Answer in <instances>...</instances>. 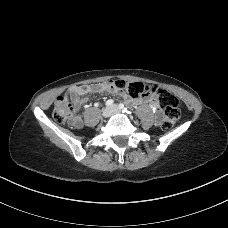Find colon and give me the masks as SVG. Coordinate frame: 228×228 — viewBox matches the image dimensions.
<instances>
[{"label":"colon","mask_w":228,"mask_h":228,"mask_svg":"<svg viewBox=\"0 0 228 228\" xmlns=\"http://www.w3.org/2000/svg\"><path fill=\"white\" fill-rule=\"evenodd\" d=\"M114 87L132 98L152 96L157 99L164 109V119L162 128L171 129L179 120L181 110L179 108L178 98L162 87L156 85H147L142 82L114 81ZM75 117V108L66 96H59L53 109V118L64 123L73 120Z\"/></svg>","instance_id":"1"}]
</instances>
